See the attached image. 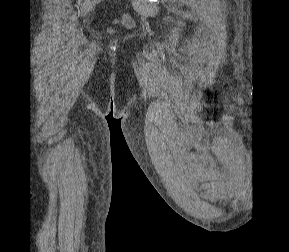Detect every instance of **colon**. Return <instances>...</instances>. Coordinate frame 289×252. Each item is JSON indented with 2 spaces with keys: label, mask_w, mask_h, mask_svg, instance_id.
Segmentation results:
<instances>
[{
  "label": "colon",
  "mask_w": 289,
  "mask_h": 252,
  "mask_svg": "<svg viewBox=\"0 0 289 252\" xmlns=\"http://www.w3.org/2000/svg\"><path fill=\"white\" fill-rule=\"evenodd\" d=\"M123 23L127 26L132 24L131 18L129 16H124Z\"/></svg>",
  "instance_id": "5ec220e1"
}]
</instances>
